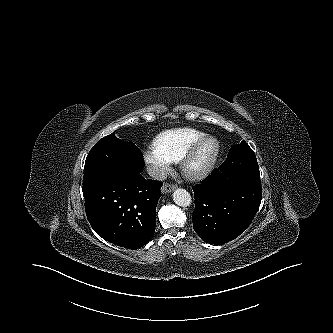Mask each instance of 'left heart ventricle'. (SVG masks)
I'll use <instances>...</instances> for the list:
<instances>
[{
  "label": "left heart ventricle",
  "instance_id": "b2bd125f",
  "mask_svg": "<svg viewBox=\"0 0 333 333\" xmlns=\"http://www.w3.org/2000/svg\"><path fill=\"white\" fill-rule=\"evenodd\" d=\"M212 144L211 143H208L206 144L203 149L201 150L198 158H197V162L200 163L202 162L203 160H205L208 155L210 154L211 150H212Z\"/></svg>",
  "mask_w": 333,
  "mask_h": 333
}]
</instances>
